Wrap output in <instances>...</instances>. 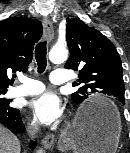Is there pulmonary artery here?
<instances>
[{
	"instance_id": "obj_1",
	"label": "pulmonary artery",
	"mask_w": 130,
	"mask_h": 153,
	"mask_svg": "<svg viewBox=\"0 0 130 153\" xmlns=\"http://www.w3.org/2000/svg\"><path fill=\"white\" fill-rule=\"evenodd\" d=\"M69 80L68 73L64 70H55L50 75V81L53 84H64ZM22 85L13 87L8 91V97L32 96L44 91L45 86L42 82L22 77Z\"/></svg>"
}]
</instances>
